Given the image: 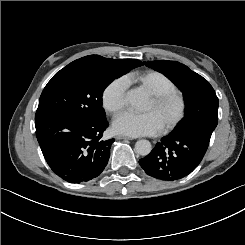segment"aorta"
<instances>
[{"label": "aorta", "instance_id": "aorta-1", "mask_svg": "<svg viewBox=\"0 0 245 245\" xmlns=\"http://www.w3.org/2000/svg\"><path fill=\"white\" fill-rule=\"evenodd\" d=\"M126 101L133 108H141L145 104V97L139 91H131L126 95ZM152 150V145L148 140H139L135 144V151L137 154L141 156H147Z\"/></svg>", "mask_w": 245, "mask_h": 245}]
</instances>
